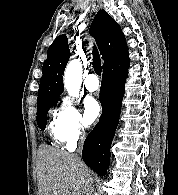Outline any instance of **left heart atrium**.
<instances>
[{
  "instance_id": "1",
  "label": "left heart atrium",
  "mask_w": 178,
  "mask_h": 195,
  "mask_svg": "<svg viewBox=\"0 0 178 195\" xmlns=\"http://www.w3.org/2000/svg\"><path fill=\"white\" fill-rule=\"evenodd\" d=\"M101 113L99 102L94 97H87L84 101V118L87 125L93 124Z\"/></svg>"
}]
</instances>
